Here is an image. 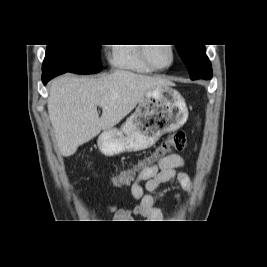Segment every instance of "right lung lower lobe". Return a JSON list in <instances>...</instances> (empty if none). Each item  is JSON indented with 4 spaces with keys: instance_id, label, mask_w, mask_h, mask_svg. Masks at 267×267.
I'll list each match as a JSON object with an SVG mask.
<instances>
[{
    "instance_id": "1",
    "label": "right lung lower lobe",
    "mask_w": 267,
    "mask_h": 267,
    "mask_svg": "<svg viewBox=\"0 0 267 267\" xmlns=\"http://www.w3.org/2000/svg\"><path fill=\"white\" fill-rule=\"evenodd\" d=\"M63 73H66V72L59 71V70H45V71H43V74H42L43 84L46 85L49 80H51L52 78H54L58 75H61Z\"/></svg>"
}]
</instances>
